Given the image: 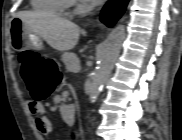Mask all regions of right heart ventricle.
I'll return each mask as SVG.
<instances>
[{
    "label": "right heart ventricle",
    "instance_id": "right-heart-ventricle-1",
    "mask_svg": "<svg viewBox=\"0 0 182 140\" xmlns=\"http://www.w3.org/2000/svg\"><path fill=\"white\" fill-rule=\"evenodd\" d=\"M70 4V0H33L32 7L40 12L64 15Z\"/></svg>",
    "mask_w": 182,
    "mask_h": 140
}]
</instances>
